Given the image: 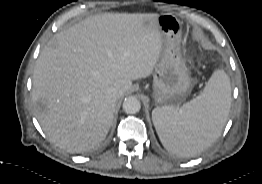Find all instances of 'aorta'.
Returning <instances> with one entry per match:
<instances>
[{
  "label": "aorta",
  "mask_w": 262,
  "mask_h": 184,
  "mask_svg": "<svg viewBox=\"0 0 262 184\" xmlns=\"http://www.w3.org/2000/svg\"><path fill=\"white\" fill-rule=\"evenodd\" d=\"M140 108V101L134 96L127 97L123 102V110L127 114H135L139 112Z\"/></svg>",
  "instance_id": "1"
}]
</instances>
